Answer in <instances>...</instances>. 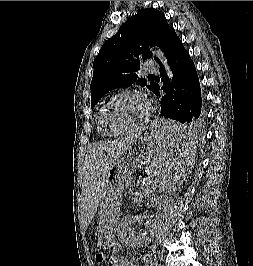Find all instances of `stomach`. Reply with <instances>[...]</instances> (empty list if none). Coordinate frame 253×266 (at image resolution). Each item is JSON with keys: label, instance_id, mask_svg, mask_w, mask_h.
Segmentation results:
<instances>
[{"label": "stomach", "instance_id": "1", "mask_svg": "<svg viewBox=\"0 0 253 266\" xmlns=\"http://www.w3.org/2000/svg\"><path fill=\"white\" fill-rule=\"evenodd\" d=\"M161 138H168L164 132L153 130L151 142L137 138L128 149L112 164L106 179V198L101 215L97 246L100 249H110L115 243V231L120 217V197L124 181L130 174L145 164L146 160H154V150L160 145Z\"/></svg>", "mask_w": 253, "mask_h": 266}]
</instances>
